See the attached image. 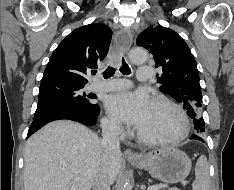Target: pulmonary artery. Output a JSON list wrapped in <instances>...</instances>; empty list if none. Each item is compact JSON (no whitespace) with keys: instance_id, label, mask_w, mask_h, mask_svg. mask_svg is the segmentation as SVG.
Listing matches in <instances>:
<instances>
[{"instance_id":"1","label":"pulmonary artery","mask_w":234,"mask_h":190,"mask_svg":"<svg viewBox=\"0 0 234 190\" xmlns=\"http://www.w3.org/2000/svg\"><path fill=\"white\" fill-rule=\"evenodd\" d=\"M152 77V68L150 66H141L138 68L137 79L140 82H146ZM129 86L125 79L113 78L108 81H97L92 84L94 91H117L123 90Z\"/></svg>"}]
</instances>
